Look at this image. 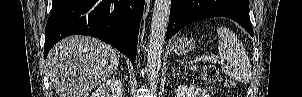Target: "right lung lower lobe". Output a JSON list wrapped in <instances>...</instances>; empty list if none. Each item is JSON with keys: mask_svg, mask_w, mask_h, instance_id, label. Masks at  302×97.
Instances as JSON below:
<instances>
[{"mask_svg": "<svg viewBox=\"0 0 302 97\" xmlns=\"http://www.w3.org/2000/svg\"><path fill=\"white\" fill-rule=\"evenodd\" d=\"M143 6L144 0H53L44 57L62 38L88 35L111 44L134 63Z\"/></svg>", "mask_w": 302, "mask_h": 97, "instance_id": "98d812e1", "label": "right lung lower lobe"}]
</instances>
